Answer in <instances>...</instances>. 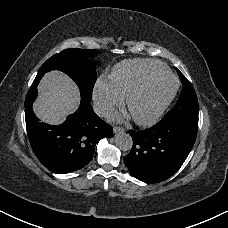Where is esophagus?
Here are the masks:
<instances>
[{"instance_id":"esophagus-1","label":"esophagus","mask_w":228,"mask_h":228,"mask_svg":"<svg viewBox=\"0 0 228 228\" xmlns=\"http://www.w3.org/2000/svg\"><path fill=\"white\" fill-rule=\"evenodd\" d=\"M113 131H114V133L123 132L124 131V128L123 127L116 126V127L113 128Z\"/></svg>"}]
</instances>
